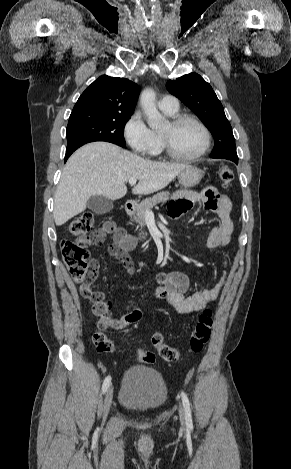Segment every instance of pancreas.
<instances>
[{
  "mask_svg": "<svg viewBox=\"0 0 291 469\" xmlns=\"http://www.w3.org/2000/svg\"><path fill=\"white\" fill-rule=\"evenodd\" d=\"M168 198H169L168 192H160L151 198H146L140 204H138L136 208V214L133 215L132 220L135 221L140 227L145 226L146 212L149 211L154 206H156L157 204L161 202H166ZM144 235L145 234L141 232L140 238H145Z\"/></svg>",
  "mask_w": 291,
  "mask_h": 469,
  "instance_id": "cf45deb5",
  "label": "pancreas"
}]
</instances>
